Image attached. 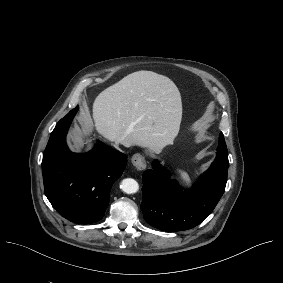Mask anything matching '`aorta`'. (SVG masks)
I'll return each instance as SVG.
<instances>
[{"label":"aorta","mask_w":283,"mask_h":283,"mask_svg":"<svg viewBox=\"0 0 283 283\" xmlns=\"http://www.w3.org/2000/svg\"><path fill=\"white\" fill-rule=\"evenodd\" d=\"M121 189L127 194H134L139 190V184L132 178H126L121 182Z\"/></svg>","instance_id":"762f6f07"}]
</instances>
